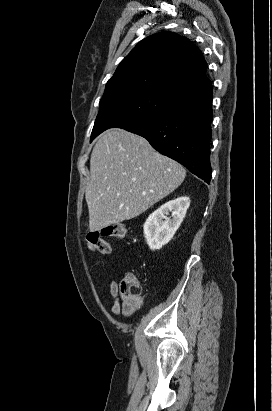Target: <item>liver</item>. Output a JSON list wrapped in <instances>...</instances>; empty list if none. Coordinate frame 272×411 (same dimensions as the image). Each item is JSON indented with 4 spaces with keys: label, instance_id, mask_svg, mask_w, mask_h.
<instances>
[{
    "label": "liver",
    "instance_id": "1",
    "mask_svg": "<svg viewBox=\"0 0 272 411\" xmlns=\"http://www.w3.org/2000/svg\"><path fill=\"white\" fill-rule=\"evenodd\" d=\"M185 176L182 165L156 152L145 138L123 129L105 131L90 158L85 190L89 230L139 216L180 186Z\"/></svg>",
    "mask_w": 272,
    "mask_h": 411
}]
</instances>
